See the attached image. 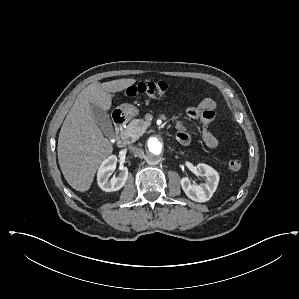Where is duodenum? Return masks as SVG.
<instances>
[{
    "label": "duodenum",
    "mask_w": 299,
    "mask_h": 299,
    "mask_svg": "<svg viewBox=\"0 0 299 299\" xmlns=\"http://www.w3.org/2000/svg\"><path fill=\"white\" fill-rule=\"evenodd\" d=\"M112 120L116 129V143L118 147L126 146V139L123 135V129L126 124V117L123 112L116 110L112 113Z\"/></svg>",
    "instance_id": "1"
}]
</instances>
